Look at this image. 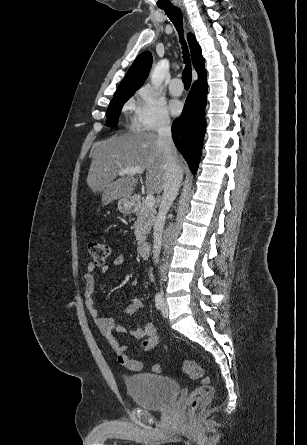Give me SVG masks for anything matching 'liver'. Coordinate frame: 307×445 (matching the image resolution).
Returning <instances> with one entry per match:
<instances>
[{"mask_svg": "<svg viewBox=\"0 0 307 445\" xmlns=\"http://www.w3.org/2000/svg\"><path fill=\"white\" fill-rule=\"evenodd\" d=\"M165 156V148L155 132L114 134L95 142L86 182L92 192H101L102 204H108L116 198L131 196L138 184L137 172L116 178L118 172L130 166H140L147 170L146 188L159 194L165 182ZM178 162L181 166V158Z\"/></svg>", "mask_w": 307, "mask_h": 445, "instance_id": "liver-1", "label": "liver"}]
</instances>
